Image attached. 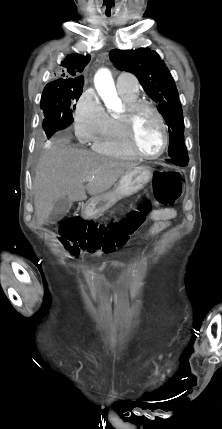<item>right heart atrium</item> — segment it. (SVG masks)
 I'll list each match as a JSON object with an SVG mask.
<instances>
[{
    "label": "right heart atrium",
    "instance_id": "right-heart-atrium-1",
    "mask_svg": "<svg viewBox=\"0 0 222 429\" xmlns=\"http://www.w3.org/2000/svg\"><path fill=\"white\" fill-rule=\"evenodd\" d=\"M73 118L78 139L88 143L94 141L103 131L107 113L95 92L86 90L76 102Z\"/></svg>",
    "mask_w": 222,
    "mask_h": 429
}]
</instances>
